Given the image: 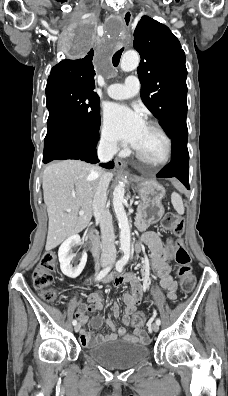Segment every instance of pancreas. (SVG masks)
<instances>
[{
	"label": "pancreas",
	"mask_w": 228,
	"mask_h": 396,
	"mask_svg": "<svg viewBox=\"0 0 228 396\" xmlns=\"http://www.w3.org/2000/svg\"><path fill=\"white\" fill-rule=\"evenodd\" d=\"M134 212L135 213H141V212H143V209L135 208ZM135 219H136V226L138 227V229L141 230V232H144V230H146L147 227L149 226V223L146 222V220H142V216L141 215H136Z\"/></svg>",
	"instance_id": "1"
}]
</instances>
